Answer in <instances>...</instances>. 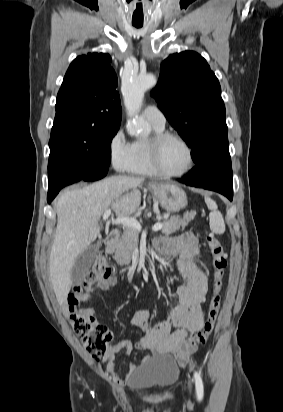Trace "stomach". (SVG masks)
<instances>
[{
	"label": "stomach",
	"instance_id": "stomach-1",
	"mask_svg": "<svg viewBox=\"0 0 283 412\" xmlns=\"http://www.w3.org/2000/svg\"><path fill=\"white\" fill-rule=\"evenodd\" d=\"M155 199L167 212H178L187 205L186 193L177 185L155 184L150 188Z\"/></svg>",
	"mask_w": 283,
	"mask_h": 412
}]
</instances>
